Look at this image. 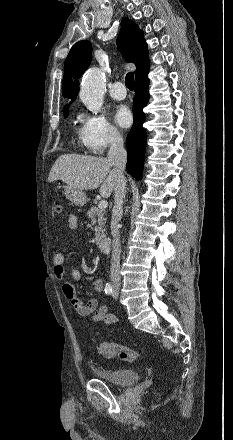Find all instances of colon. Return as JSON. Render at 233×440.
<instances>
[{
  "label": "colon",
  "mask_w": 233,
  "mask_h": 440,
  "mask_svg": "<svg viewBox=\"0 0 233 440\" xmlns=\"http://www.w3.org/2000/svg\"><path fill=\"white\" fill-rule=\"evenodd\" d=\"M52 214L59 217L63 214V204L55 201L52 205ZM98 352L105 358H118L123 361H135L139 358V352L132 348L119 345L113 341L101 340L97 344Z\"/></svg>",
  "instance_id": "5ec220e1"
}]
</instances>
